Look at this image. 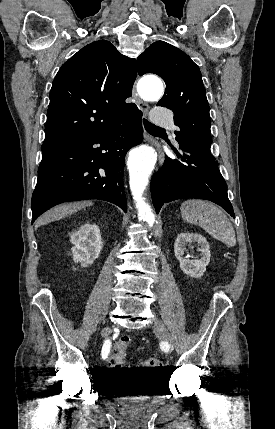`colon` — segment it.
<instances>
[{
  "label": "colon",
  "instance_id": "colon-1",
  "mask_svg": "<svg viewBox=\"0 0 275 429\" xmlns=\"http://www.w3.org/2000/svg\"><path fill=\"white\" fill-rule=\"evenodd\" d=\"M129 345V338H122L116 342L109 356V366L114 369H121L126 357V351ZM142 366L149 370H160L163 367V362L158 357H146L142 360Z\"/></svg>",
  "mask_w": 275,
  "mask_h": 429
}]
</instances>
